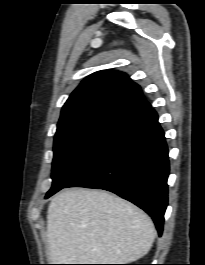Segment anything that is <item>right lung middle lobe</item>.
<instances>
[{"mask_svg":"<svg viewBox=\"0 0 205 265\" xmlns=\"http://www.w3.org/2000/svg\"><path fill=\"white\" fill-rule=\"evenodd\" d=\"M124 128L120 124L100 123L56 133L52 163L53 182L46 196L64 188Z\"/></svg>","mask_w":205,"mask_h":265,"instance_id":"dd1d6c3e","label":"right lung middle lobe"}]
</instances>
